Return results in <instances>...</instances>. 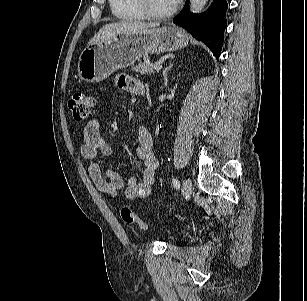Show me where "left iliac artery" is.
<instances>
[{"label": "left iliac artery", "instance_id": "44dca946", "mask_svg": "<svg viewBox=\"0 0 307 301\" xmlns=\"http://www.w3.org/2000/svg\"><path fill=\"white\" fill-rule=\"evenodd\" d=\"M173 186L175 188H179L180 187V182H179V180L177 178L173 179Z\"/></svg>", "mask_w": 307, "mask_h": 301}]
</instances>
